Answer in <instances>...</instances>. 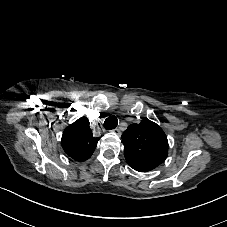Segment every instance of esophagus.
<instances>
[{"label":"esophagus","mask_w":227,"mask_h":227,"mask_svg":"<svg viewBox=\"0 0 227 227\" xmlns=\"http://www.w3.org/2000/svg\"><path fill=\"white\" fill-rule=\"evenodd\" d=\"M114 133H116L119 137L121 136V131L119 129H114Z\"/></svg>","instance_id":"1"}]
</instances>
